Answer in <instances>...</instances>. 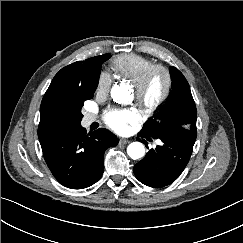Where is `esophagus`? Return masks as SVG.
<instances>
[{
	"label": "esophagus",
	"mask_w": 243,
	"mask_h": 243,
	"mask_svg": "<svg viewBox=\"0 0 243 243\" xmlns=\"http://www.w3.org/2000/svg\"><path fill=\"white\" fill-rule=\"evenodd\" d=\"M130 140L129 139H125V138H121L119 139V145H124V144H127L129 143Z\"/></svg>",
	"instance_id": "esophagus-1"
}]
</instances>
